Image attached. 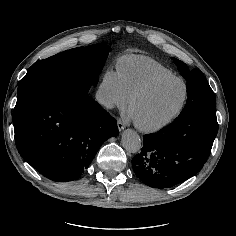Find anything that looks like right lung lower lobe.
<instances>
[{
    "instance_id": "98d812e1",
    "label": "right lung lower lobe",
    "mask_w": 236,
    "mask_h": 236,
    "mask_svg": "<svg viewBox=\"0 0 236 236\" xmlns=\"http://www.w3.org/2000/svg\"><path fill=\"white\" fill-rule=\"evenodd\" d=\"M88 91L84 83H74L30 93L16 103V147L48 179L79 178L99 147L119 134L116 120Z\"/></svg>"
}]
</instances>
